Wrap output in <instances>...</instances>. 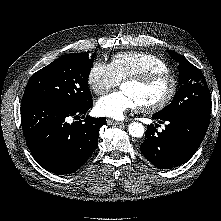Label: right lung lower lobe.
<instances>
[{
    "label": "right lung lower lobe",
    "instance_id": "1",
    "mask_svg": "<svg viewBox=\"0 0 221 221\" xmlns=\"http://www.w3.org/2000/svg\"><path fill=\"white\" fill-rule=\"evenodd\" d=\"M93 104V103H92ZM85 108L28 100L21 104V124L26 143L37 163L56 174L77 171L97 148L99 129L106 124L105 118L86 117L76 120L87 112Z\"/></svg>",
    "mask_w": 221,
    "mask_h": 221
}]
</instances>
